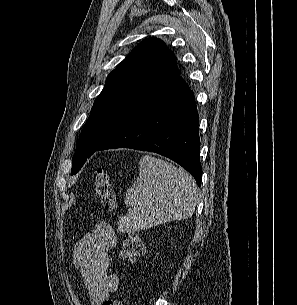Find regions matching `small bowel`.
Listing matches in <instances>:
<instances>
[{
	"instance_id": "small-bowel-1",
	"label": "small bowel",
	"mask_w": 297,
	"mask_h": 305,
	"mask_svg": "<svg viewBox=\"0 0 297 305\" xmlns=\"http://www.w3.org/2000/svg\"><path fill=\"white\" fill-rule=\"evenodd\" d=\"M116 243L112 226L100 221L74 247L72 264L83 277L91 305H103L119 288L118 275L109 271L110 252Z\"/></svg>"
}]
</instances>
